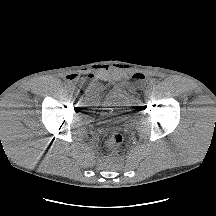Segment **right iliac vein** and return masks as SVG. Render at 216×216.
<instances>
[{
  "label": "right iliac vein",
  "mask_w": 216,
  "mask_h": 216,
  "mask_svg": "<svg viewBox=\"0 0 216 216\" xmlns=\"http://www.w3.org/2000/svg\"><path fill=\"white\" fill-rule=\"evenodd\" d=\"M72 93H73V94H76V93H77V90H76V89H74V90L72 91Z\"/></svg>",
  "instance_id": "obj_1"
}]
</instances>
